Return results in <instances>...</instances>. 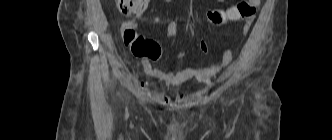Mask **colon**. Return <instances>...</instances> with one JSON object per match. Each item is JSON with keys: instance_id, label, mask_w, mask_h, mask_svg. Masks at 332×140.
<instances>
[{"instance_id": "5ec220e1", "label": "colon", "mask_w": 332, "mask_h": 140, "mask_svg": "<svg viewBox=\"0 0 332 140\" xmlns=\"http://www.w3.org/2000/svg\"><path fill=\"white\" fill-rule=\"evenodd\" d=\"M149 0H116L118 10L125 16L139 14L144 11ZM261 0H243L229 10H212L206 15V22L212 26H222L228 21L251 18L260 5ZM184 31V24L180 21H170L166 26L168 37H175ZM122 39L137 57L157 60L162 51L157 42L147 39L136 31L135 24L127 21L121 28Z\"/></svg>"}]
</instances>
